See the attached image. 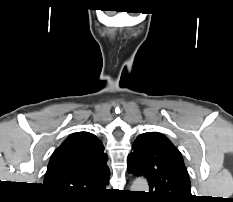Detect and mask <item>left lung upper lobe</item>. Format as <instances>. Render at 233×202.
Returning <instances> with one entry per match:
<instances>
[{
  "mask_svg": "<svg viewBox=\"0 0 233 202\" xmlns=\"http://www.w3.org/2000/svg\"><path fill=\"white\" fill-rule=\"evenodd\" d=\"M128 156L129 172L149 181V197L156 202H189L190 180L178 149L162 134L139 135Z\"/></svg>",
  "mask_w": 233,
  "mask_h": 202,
  "instance_id": "left-lung-upper-lobe-1",
  "label": "left lung upper lobe"
}]
</instances>
